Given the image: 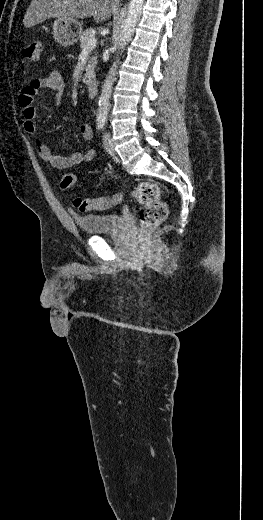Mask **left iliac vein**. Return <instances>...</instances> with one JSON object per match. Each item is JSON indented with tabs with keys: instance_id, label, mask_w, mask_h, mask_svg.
Listing matches in <instances>:
<instances>
[{
	"instance_id": "obj_1",
	"label": "left iliac vein",
	"mask_w": 263,
	"mask_h": 520,
	"mask_svg": "<svg viewBox=\"0 0 263 520\" xmlns=\"http://www.w3.org/2000/svg\"><path fill=\"white\" fill-rule=\"evenodd\" d=\"M103 143H104V148L107 151V153L111 156H115L116 152L114 150V145H113L111 137L108 133H105Z\"/></svg>"
}]
</instances>
